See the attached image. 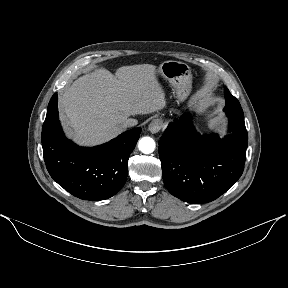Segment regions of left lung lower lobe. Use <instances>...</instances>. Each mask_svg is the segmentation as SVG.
I'll use <instances>...</instances> for the list:
<instances>
[{
	"label": "left lung lower lobe",
	"mask_w": 288,
	"mask_h": 288,
	"mask_svg": "<svg viewBox=\"0 0 288 288\" xmlns=\"http://www.w3.org/2000/svg\"><path fill=\"white\" fill-rule=\"evenodd\" d=\"M231 134L201 136L189 119L171 123L160 138L158 152L167 190L194 204L215 200L242 175L248 134L244 117L227 113Z\"/></svg>",
	"instance_id": "0a47b994"
}]
</instances>
